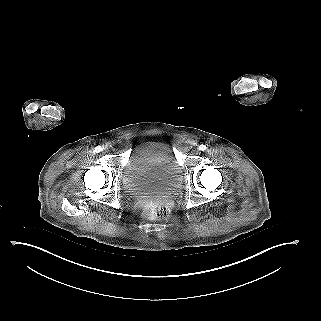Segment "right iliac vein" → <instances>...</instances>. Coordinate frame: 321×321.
<instances>
[{"label": "right iliac vein", "mask_w": 321, "mask_h": 321, "mask_svg": "<svg viewBox=\"0 0 321 321\" xmlns=\"http://www.w3.org/2000/svg\"><path fill=\"white\" fill-rule=\"evenodd\" d=\"M104 150H105V151L108 150V147H105Z\"/></svg>", "instance_id": "right-iliac-vein-1"}]
</instances>
